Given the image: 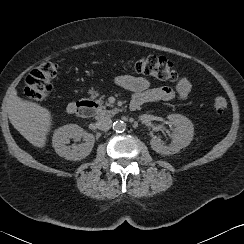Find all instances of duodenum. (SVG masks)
Instances as JSON below:
<instances>
[{"instance_id":"obj_1","label":"duodenum","mask_w":244,"mask_h":244,"mask_svg":"<svg viewBox=\"0 0 244 244\" xmlns=\"http://www.w3.org/2000/svg\"><path fill=\"white\" fill-rule=\"evenodd\" d=\"M131 108L135 109L134 105L131 104ZM95 109V105L91 101L76 100L68 105V110L72 113H77L83 116H87L92 113Z\"/></svg>"}]
</instances>
